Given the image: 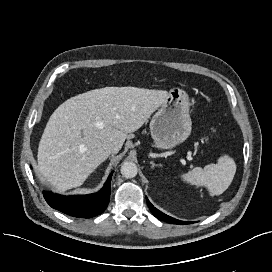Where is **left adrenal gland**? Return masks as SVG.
I'll return each instance as SVG.
<instances>
[{
    "mask_svg": "<svg viewBox=\"0 0 272 272\" xmlns=\"http://www.w3.org/2000/svg\"><path fill=\"white\" fill-rule=\"evenodd\" d=\"M150 164H151V168H154L156 166H158V167L162 166L161 164H155L153 161H150Z\"/></svg>",
    "mask_w": 272,
    "mask_h": 272,
    "instance_id": "1",
    "label": "left adrenal gland"
}]
</instances>
